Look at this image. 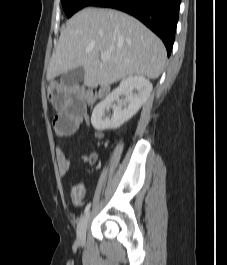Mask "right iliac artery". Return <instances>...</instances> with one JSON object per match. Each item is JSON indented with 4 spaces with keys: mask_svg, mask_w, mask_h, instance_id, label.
<instances>
[{
    "mask_svg": "<svg viewBox=\"0 0 227 265\" xmlns=\"http://www.w3.org/2000/svg\"><path fill=\"white\" fill-rule=\"evenodd\" d=\"M90 207H91V203L86 205V207L84 209V214H86L89 211Z\"/></svg>",
    "mask_w": 227,
    "mask_h": 265,
    "instance_id": "1",
    "label": "right iliac artery"
}]
</instances>
